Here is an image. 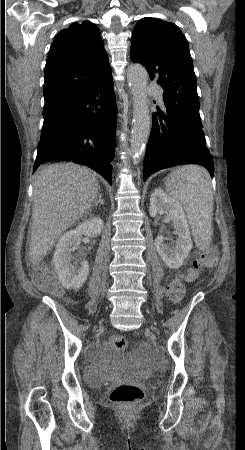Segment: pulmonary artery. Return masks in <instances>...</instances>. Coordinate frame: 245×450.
Returning <instances> with one entry per match:
<instances>
[{
  "mask_svg": "<svg viewBox=\"0 0 245 450\" xmlns=\"http://www.w3.org/2000/svg\"><path fill=\"white\" fill-rule=\"evenodd\" d=\"M155 87H156V84H155V83L149 82V84H148V88H149V89H153V88H155ZM157 96H158V98L160 99V101H162V92H161V91H158V92H157Z\"/></svg>",
  "mask_w": 245,
  "mask_h": 450,
  "instance_id": "obj_1",
  "label": "pulmonary artery"
}]
</instances>
